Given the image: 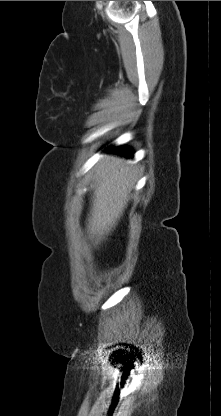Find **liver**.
<instances>
[{"label":"liver","instance_id":"6515ba94","mask_svg":"<svg viewBox=\"0 0 221 416\" xmlns=\"http://www.w3.org/2000/svg\"><path fill=\"white\" fill-rule=\"evenodd\" d=\"M134 180L133 168L122 158L110 156L102 163L87 225L89 239H95V244L117 224L127 206Z\"/></svg>","mask_w":221,"mask_h":416}]
</instances>
